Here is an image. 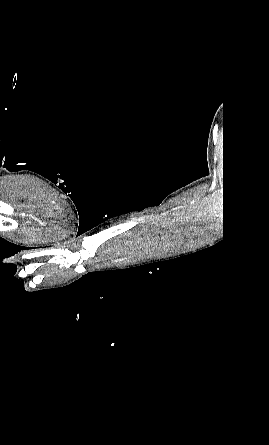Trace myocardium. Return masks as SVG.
<instances>
[{"mask_svg": "<svg viewBox=\"0 0 269 445\" xmlns=\"http://www.w3.org/2000/svg\"><path fill=\"white\" fill-rule=\"evenodd\" d=\"M60 239H61V237L53 236V237H47V238L38 239L36 241L37 242H50V241H56V240H60Z\"/></svg>", "mask_w": 269, "mask_h": 445, "instance_id": "obj_1", "label": "myocardium"}]
</instances>
